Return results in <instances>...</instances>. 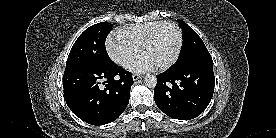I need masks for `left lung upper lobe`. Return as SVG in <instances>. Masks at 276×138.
I'll use <instances>...</instances> for the list:
<instances>
[{"instance_id": "5c2ea615", "label": "left lung upper lobe", "mask_w": 276, "mask_h": 138, "mask_svg": "<svg viewBox=\"0 0 276 138\" xmlns=\"http://www.w3.org/2000/svg\"><path fill=\"white\" fill-rule=\"evenodd\" d=\"M179 24L183 29L184 45L179 62L173 65L172 68L181 69L202 61L212 60L199 35L184 21L179 20Z\"/></svg>"}]
</instances>
